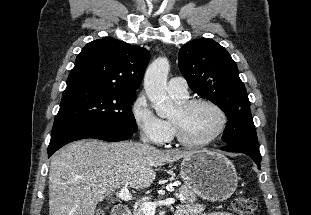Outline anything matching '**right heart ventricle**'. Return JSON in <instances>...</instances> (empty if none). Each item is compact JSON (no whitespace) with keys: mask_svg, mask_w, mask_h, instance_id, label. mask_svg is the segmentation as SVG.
Segmentation results:
<instances>
[{"mask_svg":"<svg viewBox=\"0 0 311 215\" xmlns=\"http://www.w3.org/2000/svg\"><path fill=\"white\" fill-rule=\"evenodd\" d=\"M171 97L173 98V100L177 103V104H180L182 102H184L185 100L188 99V95L185 96V97H180V96H175V95H171ZM173 129V132H174V128L172 127Z\"/></svg>","mask_w":311,"mask_h":215,"instance_id":"1","label":"right heart ventricle"}]
</instances>
